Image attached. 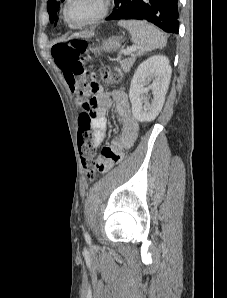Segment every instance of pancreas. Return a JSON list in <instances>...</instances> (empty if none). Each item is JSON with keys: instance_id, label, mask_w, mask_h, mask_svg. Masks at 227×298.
I'll return each instance as SVG.
<instances>
[{"instance_id": "1", "label": "pancreas", "mask_w": 227, "mask_h": 298, "mask_svg": "<svg viewBox=\"0 0 227 298\" xmlns=\"http://www.w3.org/2000/svg\"><path fill=\"white\" fill-rule=\"evenodd\" d=\"M134 62H135V57L134 56L121 61V67H122L123 71L129 72L130 68L132 67Z\"/></svg>"}]
</instances>
